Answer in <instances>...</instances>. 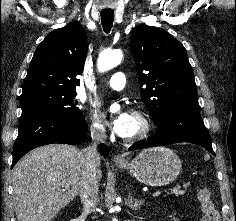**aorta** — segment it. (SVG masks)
<instances>
[{"label":"aorta","mask_w":236,"mask_h":221,"mask_svg":"<svg viewBox=\"0 0 236 221\" xmlns=\"http://www.w3.org/2000/svg\"><path fill=\"white\" fill-rule=\"evenodd\" d=\"M122 52L119 50L113 51H104L99 55L97 67L100 72L108 71L118 64H120L122 60ZM119 110V105L113 104L110 106V112L115 113ZM113 221H117L114 219Z\"/></svg>","instance_id":"aorta-1"}]
</instances>
